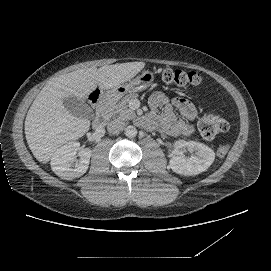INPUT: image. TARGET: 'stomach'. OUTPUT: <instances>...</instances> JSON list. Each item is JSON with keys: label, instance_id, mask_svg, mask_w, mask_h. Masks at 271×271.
<instances>
[{"label": "stomach", "instance_id": "0dacf381", "mask_svg": "<svg viewBox=\"0 0 271 271\" xmlns=\"http://www.w3.org/2000/svg\"><path fill=\"white\" fill-rule=\"evenodd\" d=\"M153 81V75L149 72H142L137 78L125 85H120L112 89V97L120 99L129 92H137L146 89Z\"/></svg>", "mask_w": 271, "mask_h": 271}]
</instances>
